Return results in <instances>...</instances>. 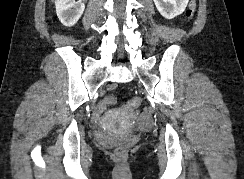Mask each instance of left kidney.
<instances>
[{
  "label": "left kidney",
  "mask_w": 244,
  "mask_h": 179,
  "mask_svg": "<svg viewBox=\"0 0 244 179\" xmlns=\"http://www.w3.org/2000/svg\"><path fill=\"white\" fill-rule=\"evenodd\" d=\"M153 2L161 16L172 20V18L183 14L189 0H153Z\"/></svg>",
  "instance_id": "1"
}]
</instances>
